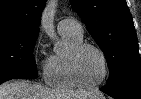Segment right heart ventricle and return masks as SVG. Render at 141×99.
<instances>
[{"instance_id":"1","label":"right heart ventricle","mask_w":141,"mask_h":99,"mask_svg":"<svg viewBox=\"0 0 141 99\" xmlns=\"http://www.w3.org/2000/svg\"><path fill=\"white\" fill-rule=\"evenodd\" d=\"M66 44V50L52 54L46 61L44 77L46 83L56 89L73 90L80 86L74 80L70 68V53L82 42V36L61 34Z\"/></svg>"}]
</instances>
